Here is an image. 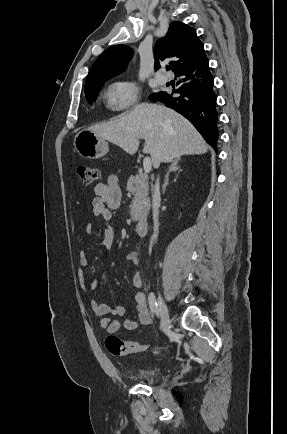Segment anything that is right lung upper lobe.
Segmentation results:
<instances>
[{
	"mask_svg": "<svg viewBox=\"0 0 287 434\" xmlns=\"http://www.w3.org/2000/svg\"><path fill=\"white\" fill-rule=\"evenodd\" d=\"M154 51L161 60L173 58V61L170 62L171 69L177 73L202 53L204 46L198 39L195 29L182 22L174 21L170 24L166 36L156 42ZM132 55L133 50L128 46L115 45L110 47L93 63L85 85L110 79L124 71ZM159 67V61L156 58V70Z\"/></svg>",
	"mask_w": 287,
	"mask_h": 434,
	"instance_id": "obj_1",
	"label": "right lung upper lobe"
}]
</instances>
